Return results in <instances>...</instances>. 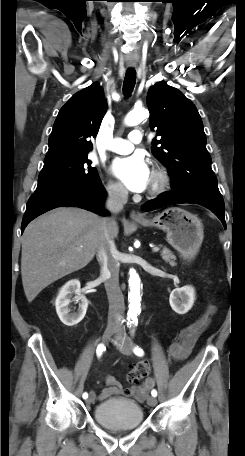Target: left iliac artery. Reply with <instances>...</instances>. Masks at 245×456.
I'll return each instance as SVG.
<instances>
[{"mask_svg": "<svg viewBox=\"0 0 245 456\" xmlns=\"http://www.w3.org/2000/svg\"><path fill=\"white\" fill-rule=\"evenodd\" d=\"M133 332V330H132ZM133 352L137 355V356H143L144 355V351L139 347V346H136L134 347L133 349ZM151 395L156 397L157 396V391L155 389H153L151 391Z\"/></svg>", "mask_w": 245, "mask_h": 456, "instance_id": "1", "label": "left iliac artery"}]
</instances>
